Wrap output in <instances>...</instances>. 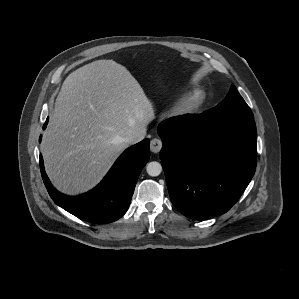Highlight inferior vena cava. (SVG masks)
Segmentation results:
<instances>
[{
  "instance_id": "1",
  "label": "inferior vena cava",
  "mask_w": 299,
  "mask_h": 299,
  "mask_svg": "<svg viewBox=\"0 0 299 299\" xmlns=\"http://www.w3.org/2000/svg\"><path fill=\"white\" fill-rule=\"evenodd\" d=\"M146 130L142 129L136 133H133L129 136L121 138V142L125 144H135L145 138Z\"/></svg>"
}]
</instances>
